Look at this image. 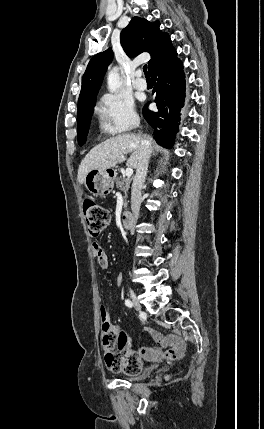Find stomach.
Masks as SVG:
<instances>
[{"label":"stomach","instance_id":"obj_1","mask_svg":"<svg viewBox=\"0 0 264 429\" xmlns=\"http://www.w3.org/2000/svg\"><path fill=\"white\" fill-rule=\"evenodd\" d=\"M116 173L113 169H94L87 173L85 186L93 196H106L114 187Z\"/></svg>","mask_w":264,"mask_h":429}]
</instances>
